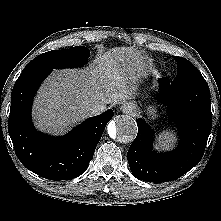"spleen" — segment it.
I'll return each mask as SVG.
<instances>
[{
    "instance_id": "3e777b00",
    "label": "spleen",
    "mask_w": 221,
    "mask_h": 221,
    "mask_svg": "<svg viewBox=\"0 0 221 221\" xmlns=\"http://www.w3.org/2000/svg\"><path fill=\"white\" fill-rule=\"evenodd\" d=\"M158 142L160 147L169 149L171 144L175 143V137L172 132L166 131L158 135Z\"/></svg>"
}]
</instances>
